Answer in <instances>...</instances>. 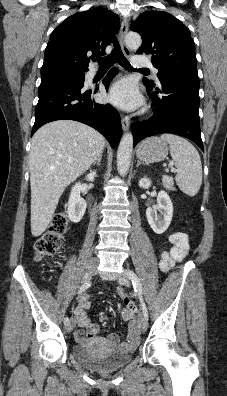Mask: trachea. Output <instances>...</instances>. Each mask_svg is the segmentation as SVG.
<instances>
[{
  "instance_id": "3493384b",
  "label": "trachea",
  "mask_w": 227,
  "mask_h": 396,
  "mask_svg": "<svg viewBox=\"0 0 227 396\" xmlns=\"http://www.w3.org/2000/svg\"><path fill=\"white\" fill-rule=\"evenodd\" d=\"M114 49L113 51L106 57L97 58V61L101 68H110L115 63L120 64L125 69H132L129 61L126 59L124 54L121 51L118 40L114 41ZM142 71H149L148 69H140Z\"/></svg>"
}]
</instances>
